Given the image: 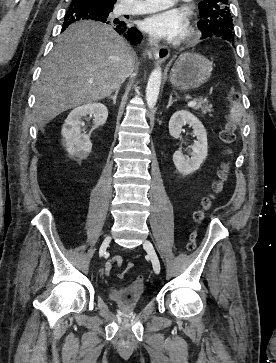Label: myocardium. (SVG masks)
Listing matches in <instances>:
<instances>
[{
    "mask_svg": "<svg viewBox=\"0 0 276 363\" xmlns=\"http://www.w3.org/2000/svg\"><path fill=\"white\" fill-rule=\"evenodd\" d=\"M197 33L194 29H191L187 34V40L192 41L196 38Z\"/></svg>",
    "mask_w": 276,
    "mask_h": 363,
    "instance_id": "obj_1",
    "label": "myocardium"
}]
</instances>
